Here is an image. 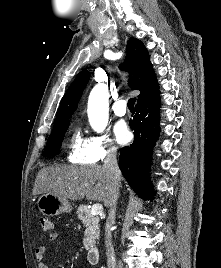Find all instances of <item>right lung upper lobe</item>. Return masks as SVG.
<instances>
[{"instance_id":"right-lung-upper-lobe-1","label":"right lung upper lobe","mask_w":221,"mask_h":268,"mask_svg":"<svg viewBox=\"0 0 221 268\" xmlns=\"http://www.w3.org/2000/svg\"><path fill=\"white\" fill-rule=\"evenodd\" d=\"M120 67L130 72L129 86L133 89L140 90L137 103L145 101L159 92V86L149 54L140 40L136 38H130L128 40L127 55L124 63ZM89 78L90 73L87 69L82 70L77 75L61 100L54 126L69 121L72 113L77 108V103L82 96Z\"/></svg>"}]
</instances>
